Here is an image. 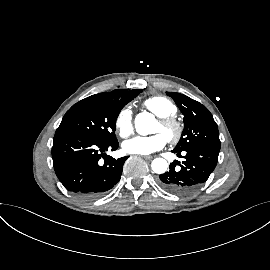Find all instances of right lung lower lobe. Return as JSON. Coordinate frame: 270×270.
<instances>
[{"label":"right lung lower lobe","instance_id":"98d812e1","mask_svg":"<svg viewBox=\"0 0 270 270\" xmlns=\"http://www.w3.org/2000/svg\"><path fill=\"white\" fill-rule=\"evenodd\" d=\"M118 141L102 143L79 134L54 136L52 158L55 173L63 186L83 199L101 196L121 178L128 156L105 158L106 150H116ZM104 159V164L100 161Z\"/></svg>","mask_w":270,"mask_h":270}]
</instances>
